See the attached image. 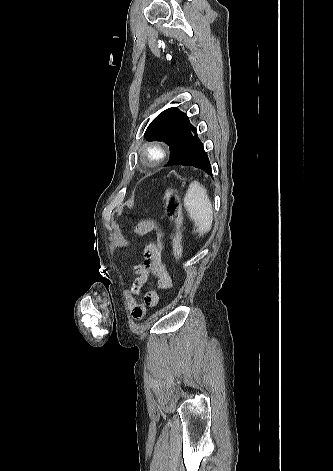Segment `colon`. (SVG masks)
I'll return each mask as SVG.
<instances>
[{"instance_id":"colon-1","label":"colon","mask_w":333,"mask_h":471,"mask_svg":"<svg viewBox=\"0 0 333 471\" xmlns=\"http://www.w3.org/2000/svg\"><path fill=\"white\" fill-rule=\"evenodd\" d=\"M164 203L167 215L176 227L172 237V250L175 263L179 265L183 253V212L179 195L175 189L167 188L164 191Z\"/></svg>"}]
</instances>
